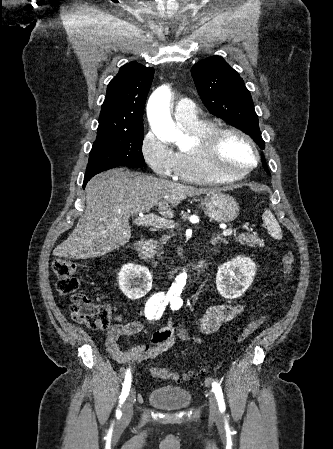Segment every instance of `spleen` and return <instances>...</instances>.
<instances>
[{"label":"spleen","instance_id":"1","mask_svg":"<svg viewBox=\"0 0 333 449\" xmlns=\"http://www.w3.org/2000/svg\"><path fill=\"white\" fill-rule=\"evenodd\" d=\"M262 219L270 235L275 239H281L282 231L272 212L270 210H266L262 216Z\"/></svg>","mask_w":333,"mask_h":449}]
</instances>
